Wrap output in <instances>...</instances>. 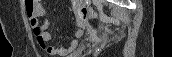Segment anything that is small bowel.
Returning <instances> with one entry per match:
<instances>
[{
	"label": "small bowel",
	"mask_w": 172,
	"mask_h": 57,
	"mask_svg": "<svg viewBox=\"0 0 172 57\" xmlns=\"http://www.w3.org/2000/svg\"><path fill=\"white\" fill-rule=\"evenodd\" d=\"M81 5L79 3L74 4V10H77ZM25 12L29 19V24L32 28L33 35L37 41L39 47L51 56H71L74 52L82 50L79 39L83 35L81 28H78L75 32L74 39L69 46L56 48L49 44L51 35L48 32L51 22L47 17V12L40 0H27L25 1ZM43 20L40 22L39 19ZM78 26L81 23L78 22Z\"/></svg>",
	"instance_id": "small-bowel-1"
}]
</instances>
